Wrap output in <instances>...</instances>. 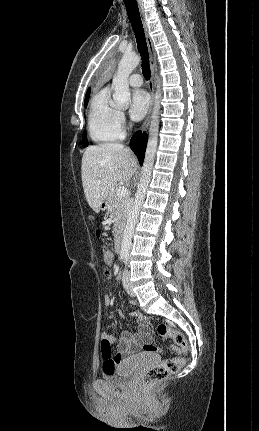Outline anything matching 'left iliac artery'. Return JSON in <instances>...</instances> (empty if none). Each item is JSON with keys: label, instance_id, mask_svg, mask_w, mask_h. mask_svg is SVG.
I'll list each match as a JSON object with an SVG mask.
<instances>
[{"label": "left iliac artery", "instance_id": "left-iliac-artery-1", "mask_svg": "<svg viewBox=\"0 0 259 431\" xmlns=\"http://www.w3.org/2000/svg\"><path fill=\"white\" fill-rule=\"evenodd\" d=\"M125 258H126V263H127V259H128L127 256H125Z\"/></svg>", "mask_w": 259, "mask_h": 431}]
</instances>
